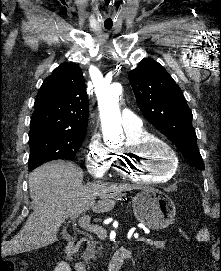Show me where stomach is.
I'll return each mask as SVG.
<instances>
[{"mask_svg": "<svg viewBox=\"0 0 221 271\" xmlns=\"http://www.w3.org/2000/svg\"><path fill=\"white\" fill-rule=\"evenodd\" d=\"M132 207L136 219L150 229H164L172 223L176 213L171 197L150 189L139 191L133 197Z\"/></svg>", "mask_w": 221, "mask_h": 271, "instance_id": "obj_1", "label": "stomach"}]
</instances>
